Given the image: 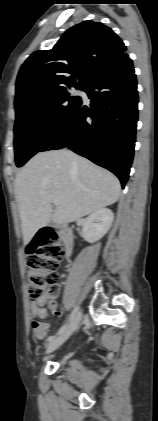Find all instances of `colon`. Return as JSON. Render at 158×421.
Listing matches in <instances>:
<instances>
[{
	"mask_svg": "<svg viewBox=\"0 0 158 421\" xmlns=\"http://www.w3.org/2000/svg\"><path fill=\"white\" fill-rule=\"evenodd\" d=\"M64 250L52 233L41 231L27 250L29 295L34 302L53 308L51 297L57 292V268Z\"/></svg>",
	"mask_w": 158,
	"mask_h": 421,
	"instance_id": "1",
	"label": "colon"
}]
</instances>
